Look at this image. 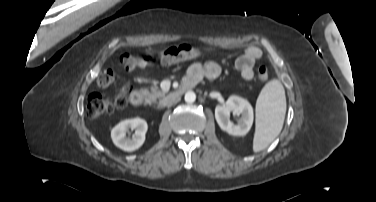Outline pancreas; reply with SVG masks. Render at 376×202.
Returning a JSON list of instances; mask_svg holds the SVG:
<instances>
[{
    "instance_id": "cf45deb5",
    "label": "pancreas",
    "mask_w": 376,
    "mask_h": 202,
    "mask_svg": "<svg viewBox=\"0 0 376 202\" xmlns=\"http://www.w3.org/2000/svg\"><path fill=\"white\" fill-rule=\"evenodd\" d=\"M166 92L163 90H160L157 86H154L150 89V91H147V102L152 103L156 102L159 98H165Z\"/></svg>"
}]
</instances>
